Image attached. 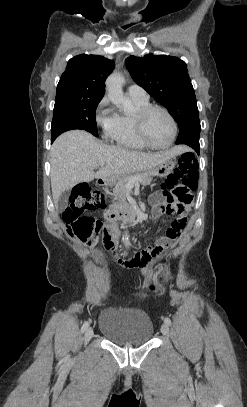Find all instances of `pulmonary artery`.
I'll list each match as a JSON object with an SVG mask.
<instances>
[{
    "label": "pulmonary artery",
    "instance_id": "pulmonary-artery-1",
    "mask_svg": "<svg viewBox=\"0 0 247 407\" xmlns=\"http://www.w3.org/2000/svg\"><path fill=\"white\" fill-rule=\"evenodd\" d=\"M128 95L133 99L148 100L147 92L139 85L132 84L128 87Z\"/></svg>",
    "mask_w": 247,
    "mask_h": 407
}]
</instances>
